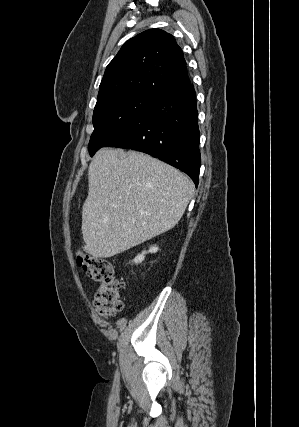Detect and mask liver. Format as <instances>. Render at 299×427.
Instances as JSON below:
<instances>
[{
  "label": "liver",
  "instance_id": "liver-1",
  "mask_svg": "<svg viewBox=\"0 0 299 427\" xmlns=\"http://www.w3.org/2000/svg\"><path fill=\"white\" fill-rule=\"evenodd\" d=\"M82 208L84 251L109 258L172 229L193 195V182L147 154L99 150L88 169Z\"/></svg>",
  "mask_w": 299,
  "mask_h": 427
}]
</instances>
